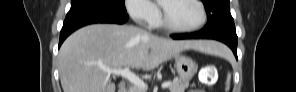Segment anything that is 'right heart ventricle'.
<instances>
[{
	"label": "right heart ventricle",
	"instance_id": "e07e8e85",
	"mask_svg": "<svg viewBox=\"0 0 296 92\" xmlns=\"http://www.w3.org/2000/svg\"><path fill=\"white\" fill-rule=\"evenodd\" d=\"M155 25H156V26H160V22H159V21H156V22H155Z\"/></svg>",
	"mask_w": 296,
	"mask_h": 92
}]
</instances>
